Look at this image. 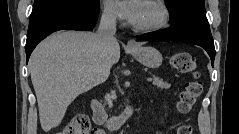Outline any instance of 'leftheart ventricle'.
<instances>
[{
  "label": "left heart ventricle",
  "instance_id": "left-heart-ventricle-1",
  "mask_svg": "<svg viewBox=\"0 0 239 134\" xmlns=\"http://www.w3.org/2000/svg\"><path fill=\"white\" fill-rule=\"evenodd\" d=\"M158 19V13L156 10L147 4L146 2H142L141 12L139 18L136 22V25H147L152 24Z\"/></svg>",
  "mask_w": 239,
  "mask_h": 134
}]
</instances>
